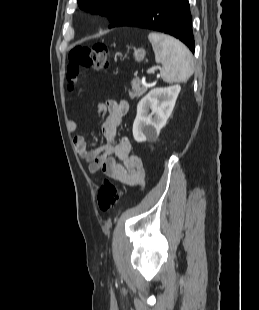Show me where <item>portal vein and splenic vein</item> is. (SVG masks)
Here are the masks:
<instances>
[{"label": "portal vein and splenic vein", "instance_id": "portal-vein-and-splenic-vein-1", "mask_svg": "<svg viewBox=\"0 0 259 310\" xmlns=\"http://www.w3.org/2000/svg\"><path fill=\"white\" fill-rule=\"evenodd\" d=\"M157 69H159V67L158 66H154V67H152V68L147 70V74H153L155 72V70H157Z\"/></svg>", "mask_w": 259, "mask_h": 310}]
</instances>
